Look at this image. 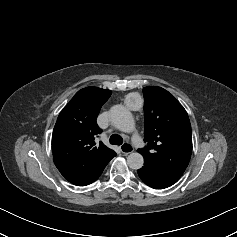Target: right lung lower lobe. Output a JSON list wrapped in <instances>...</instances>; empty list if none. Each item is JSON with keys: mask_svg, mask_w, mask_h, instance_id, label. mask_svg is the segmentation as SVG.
<instances>
[{"mask_svg": "<svg viewBox=\"0 0 237 237\" xmlns=\"http://www.w3.org/2000/svg\"><path fill=\"white\" fill-rule=\"evenodd\" d=\"M61 174L72 184L77 186H86L99 178L105 167L93 173H80L71 170L64 162L54 161Z\"/></svg>", "mask_w": 237, "mask_h": 237, "instance_id": "1", "label": "right lung lower lobe"}]
</instances>
